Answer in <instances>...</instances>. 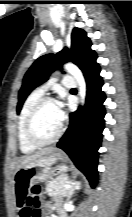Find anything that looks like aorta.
I'll use <instances>...</instances> for the list:
<instances>
[{
	"instance_id": "762f6f07",
	"label": "aorta",
	"mask_w": 132,
	"mask_h": 217,
	"mask_svg": "<svg viewBox=\"0 0 132 217\" xmlns=\"http://www.w3.org/2000/svg\"><path fill=\"white\" fill-rule=\"evenodd\" d=\"M65 69L68 73H70L75 80L77 81L78 88H79V95L81 99V104L84 105L85 98H86V82L81 70L74 64L68 63L65 65Z\"/></svg>"
}]
</instances>
